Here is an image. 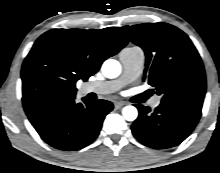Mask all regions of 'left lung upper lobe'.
<instances>
[{"mask_svg": "<svg viewBox=\"0 0 220 173\" xmlns=\"http://www.w3.org/2000/svg\"><path fill=\"white\" fill-rule=\"evenodd\" d=\"M146 56L143 80L155 87L161 103L201 113L206 93L202 60L189 37L167 23H144L118 28Z\"/></svg>", "mask_w": 220, "mask_h": 173, "instance_id": "1", "label": "left lung upper lobe"}]
</instances>
